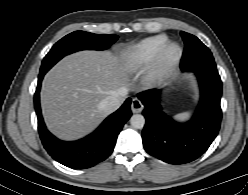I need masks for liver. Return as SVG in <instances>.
Here are the masks:
<instances>
[{"label": "liver", "instance_id": "6515ba94", "mask_svg": "<svg viewBox=\"0 0 248 195\" xmlns=\"http://www.w3.org/2000/svg\"><path fill=\"white\" fill-rule=\"evenodd\" d=\"M136 70L124 56L110 51L66 56L42 83L41 105L47 127L63 140H76L92 132L108 114L99 109V103L121 88L127 90L129 77Z\"/></svg>", "mask_w": 248, "mask_h": 195}]
</instances>
